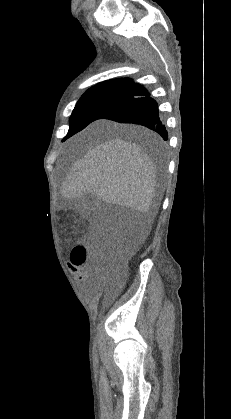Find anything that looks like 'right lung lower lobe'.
<instances>
[{"label": "right lung lower lobe", "mask_w": 231, "mask_h": 419, "mask_svg": "<svg viewBox=\"0 0 231 419\" xmlns=\"http://www.w3.org/2000/svg\"><path fill=\"white\" fill-rule=\"evenodd\" d=\"M101 118L121 123L140 124L157 132L164 140L168 139L165 125L158 111L157 102L139 84L135 87L130 97L107 111Z\"/></svg>", "instance_id": "1"}]
</instances>
